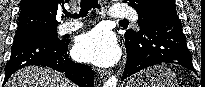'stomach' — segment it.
Wrapping results in <instances>:
<instances>
[{
    "instance_id": "1",
    "label": "stomach",
    "mask_w": 205,
    "mask_h": 87,
    "mask_svg": "<svg viewBox=\"0 0 205 87\" xmlns=\"http://www.w3.org/2000/svg\"><path fill=\"white\" fill-rule=\"evenodd\" d=\"M125 87H179L176 74L165 65H156L131 77Z\"/></svg>"
}]
</instances>
